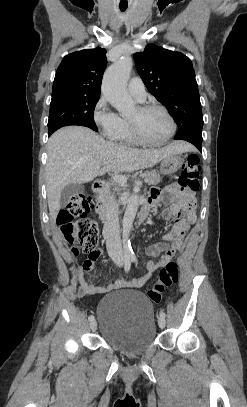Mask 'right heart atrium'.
I'll return each instance as SVG.
<instances>
[{"label":"right heart atrium","mask_w":247,"mask_h":407,"mask_svg":"<svg viewBox=\"0 0 247 407\" xmlns=\"http://www.w3.org/2000/svg\"><path fill=\"white\" fill-rule=\"evenodd\" d=\"M92 115L93 121L102 135L115 140L122 128L123 119L109 106L105 96L102 95L97 100Z\"/></svg>","instance_id":"d8ad5b80"}]
</instances>
